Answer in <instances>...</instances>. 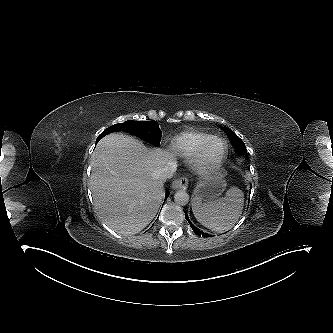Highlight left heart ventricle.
I'll list each match as a JSON object with an SVG mask.
<instances>
[{"mask_svg": "<svg viewBox=\"0 0 333 333\" xmlns=\"http://www.w3.org/2000/svg\"><path fill=\"white\" fill-rule=\"evenodd\" d=\"M223 150V144L220 141H214L211 143L207 150V158L210 160L216 159Z\"/></svg>", "mask_w": 333, "mask_h": 333, "instance_id": "b2bd125f", "label": "left heart ventricle"}]
</instances>
